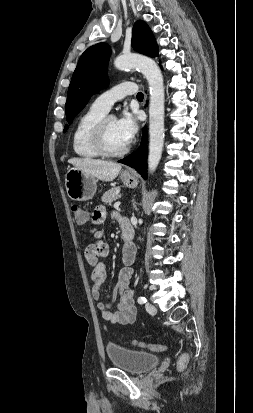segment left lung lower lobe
I'll return each instance as SVG.
<instances>
[{"label": "left lung lower lobe", "mask_w": 253, "mask_h": 413, "mask_svg": "<svg viewBox=\"0 0 253 413\" xmlns=\"http://www.w3.org/2000/svg\"><path fill=\"white\" fill-rule=\"evenodd\" d=\"M147 131L144 128V133L141 141V147L131 155L119 160L120 163L126 164L134 168L143 178L147 177Z\"/></svg>", "instance_id": "left-lung-lower-lobe-1"}]
</instances>
